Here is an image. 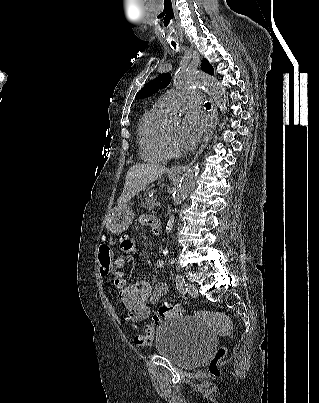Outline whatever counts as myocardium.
Listing matches in <instances>:
<instances>
[{
	"label": "myocardium",
	"mask_w": 319,
	"mask_h": 403,
	"mask_svg": "<svg viewBox=\"0 0 319 403\" xmlns=\"http://www.w3.org/2000/svg\"><path fill=\"white\" fill-rule=\"evenodd\" d=\"M161 142H162V147L166 155L170 158H179L182 156V150L180 148H176L172 145L170 142L168 135L166 133L165 127L162 129V134H161Z\"/></svg>",
	"instance_id": "myocardium-1"
}]
</instances>
